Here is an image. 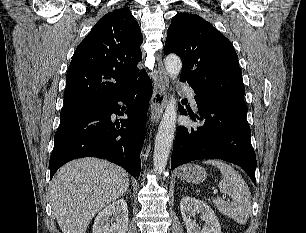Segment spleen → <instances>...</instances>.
Here are the masks:
<instances>
[{
	"label": "spleen",
	"instance_id": "3e777b00",
	"mask_svg": "<svg viewBox=\"0 0 306 233\" xmlns=\"http://www.w3.org/2000/svg\"><path fill=\"white\" fill-rule=\"evenodd\" d=\"M203 163L216 166L220 170L222 177L218 187L222 193L232 198L231 202L221 198L214 199L217 209L236 223L246 224L251 212V193L242 176L220 160H206Z\"/></svg>",
	"mask_w": 306,
	"mask_h": 233
}]
</instances>
